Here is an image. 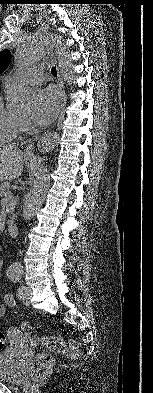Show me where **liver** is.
Masks as SVG:
<instances>
[{"label":"liver","instance_id":"1","mask_svg":"<svg viewBox=\"0 0 153 393\" xmlns=\"http://www.w3.org/2000/svg\"><path fill=\"white\" fill-rule=\"evenodd\" d=\"M24 153L15 145L0 147V182L19 177L24 168Z\"/></svg>","mask_w":153,"mask_h":393}]
</instances>
